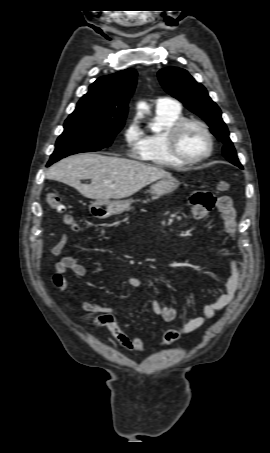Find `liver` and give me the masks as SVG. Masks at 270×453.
<instances>
[{
	"mask_svg": "<svg viewBox=\"0 0 270 453\" xmlns=\"http://www.w3.org/2000/svg\"><path fill=\"white\" fill-rule=\"evenodd\" d=\"M46 177L77 189L86 198L110 200L131 196L171 174L136 160L83 153L55 163L46 172ZM84 179H90L91 183L82 184Z\"/></svg>",
	"mask_w": 270,
	"mask_h": 453,
	"instance_id": "obj_1",
	"label": "liver"
}]
</instances>
